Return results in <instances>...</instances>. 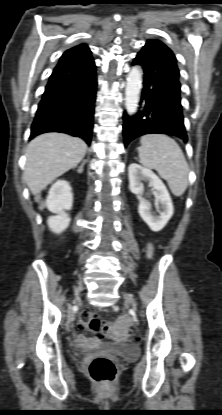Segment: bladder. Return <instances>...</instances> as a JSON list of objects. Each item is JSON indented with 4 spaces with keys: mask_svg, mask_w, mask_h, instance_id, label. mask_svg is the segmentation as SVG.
I'll return each mask as SVG.
<instances>
[{
    "mask_svg": "<svg viewBox=\"0 0 222 415\" xmlns=\"http://www.w3.org/2000/svg\"><path fill=\"white\" fill-rule=\"evenodd\" d=\"M97 349H102L103 352L112 356L130 359L138 355V348L131 342L103 344L95 347H76L74 352L76 355H85L95 352Z\"/></svg>",
    "mask_w": 222,
    "mask_h": 415,
    "instance_id": "bladder-1",
    "label": "bladder"
}]
</instances>
